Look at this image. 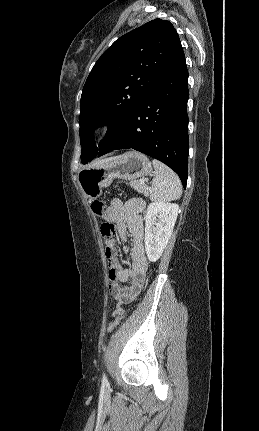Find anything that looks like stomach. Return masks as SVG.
Here are the masks:
<instances>
[{"instance_id": "0dacf381", "label": "stomach", "mask_w": 259, "mask_h": 431, "mask_svg": "<svg viewBox=\"0 0 259 431\" xmlns=\"http://www.w3.org/2000/svg\"><path fill=\"white\" fill-rule=\"evenodd\" d=\"M151 172V162L144 154L129 151L80 170L78 183L84 195L93 200L100 197L103 188L109 186L114 179L136 180Z\"/></svg>"}]
</instances>
